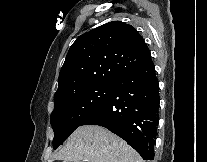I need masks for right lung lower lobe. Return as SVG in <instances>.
I'll list each match as a JSON object with an SVG mask.
<instances>
[{
    "mask_svg": "<svg viewBox=\"0 0 207 162\" xmlns=\"http://www.w3.org/2000/svg\"><path fill=\"white\" fill-rule=\"evenodd\" d=\"M158 109V79L151 60L119 78L111 95L82 125L105 127L126 140L144 160H153Z\"/></svg>",
    "mask_w": 207,
    "mask_h": 162,
    "instance_id": "obj_1",
    "label": "right lung lower lobe"
}]
</instances>
